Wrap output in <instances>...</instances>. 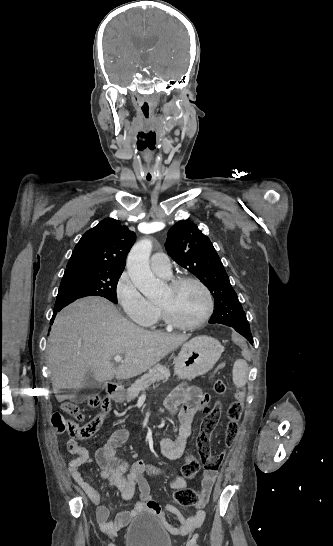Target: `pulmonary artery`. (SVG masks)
I'll list each match as a JSON object with an SVG mask.
<instances>
[{
	"instance_id": "pulmonary-artery-1",
	"label": "pulmonary artery",
	"mask_w": 333,
	"mask_h": 546,
	"mask_svg": "<svg viewBox=\"0 0 333 546\" xmlns=\"http://www.w3.org/2000/svg\"><path fill=\"white\" fill-rule=\"evenodd\" d=\"M150 267L154 273L164 278L171 277L170 258L165 253H155L150 259Z\"/></svg>"
}]
</instances>
